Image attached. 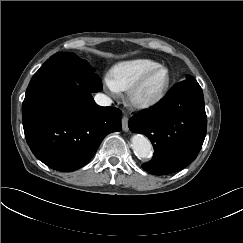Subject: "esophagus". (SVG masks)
Segmentation results:
<instances>
[{"instance_id": "esophagus-1", "label": "esophagus", "mask_w": 243, "mask_h": 243, "mask_svg": "<svg viewBox=\"0 0 243 243\" xmlns=\"http://www.w3.org/2000/svg\"><path fill=\"white\" fill-rule=\"evenodd\" d=\"M128 121H129V118L127 116H123L122 117V129L123 131H128L129 130V127H128Z\"/></svg>"}]
</instances>
